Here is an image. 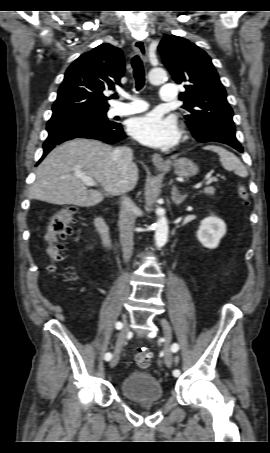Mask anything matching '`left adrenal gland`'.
I'll return each instance as SVG.
<instances>
[{
	"mask_svg": "<svg viewBox=\"0 0 270 453\" xmlns=\"http://www.w3.org/2000/svg\"><path fill=\"white\" fill-rule=\"evenodd\" d=\"M186 197H187L186 194L181 195L179 193L178 188L175 185L172 186V201L176 205H180L186 199Z\"/></svg>",
	"mask_w": 270,
	"mask_h": 453,
	"instance_id": "obj_1",
	"label": "left adrenal gland"
}]
</instances>
